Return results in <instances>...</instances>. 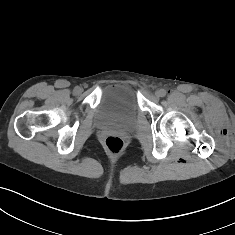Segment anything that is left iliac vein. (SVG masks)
<instances>
[{
	"label": "left iliac vein",
	"instance_id": "1",
	"mask_svg": "<svg viewBox=\"0 0 235 235\" xmlns=\"http://www.w3.org/2000/svg\"><path fill=\"white\" fill-rule=\"evenodd\" d=\"M155 96H156L157 98L162 97V89L157 90V91L155 92Z\"/></svg>",
	"mask_w": 235,
	"mask_h": 235
}]
</instances>
